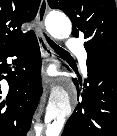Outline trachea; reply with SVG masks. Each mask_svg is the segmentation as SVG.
Segmentation results:
<instances>
[{"mask_svg":"<svg viewBox=\"0 0 117 136\" xmlns=\"http://www.w3.org/2000/svg\"><path fill=\"white\" fill-rule=\"evenodd\" d=\"M47 42L49 43V45L57 52H61V53H66L68 54V52L66 50H64L63 48H61L60 46H58L55 42H53L49 37H47L45 35Z\"/></svg>","mask_w":117,"mask_h":136,"instance_id":"1","label":"trachea"}]
</instances>
